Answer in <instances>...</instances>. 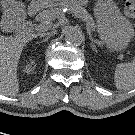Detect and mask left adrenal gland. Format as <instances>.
I'll use <instances>...</instances> for the list:
<instances>
[{
    "instance_id": "obj_1",
    "label": "left adrenal gland",
    "mask_w": 135,
    "mask_h": 135,
    "mask_svg": "<svg viewBox=\"0 0 135 135\" xmlns=\"http://www.w3.org/2000/svg\"><path fill=\"white\" fill-rule=\"evenodd\" d=\"M90 39H91V43L90 44H91L92 48L96 51L95 41H94L93 37L90 36Z\"/></svg>"
}]
</instances>
